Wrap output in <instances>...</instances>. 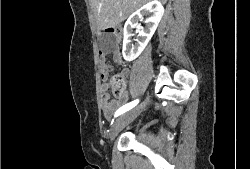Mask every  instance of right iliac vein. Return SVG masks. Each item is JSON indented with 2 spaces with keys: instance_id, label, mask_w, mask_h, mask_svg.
I'll use <instances>...</instances> for the list:
<instances>
[{
  "instance_id": "63e3f726",
  "label": "right iliac vein",
  "mask_w": 250,
  "mask_h": 169,
  "mask_svg": "<svg viewBox=\"0 0 250 169\" xmlns=\"http://www.w3.org/2000/svg\"><path fill=\"white\" fill-rule=\"evenodd\" d=\"M149 101V98L139 107L133 110H130L129 112L121 115L117 118L113 126L111 127L110 131V141H113L118 133L133 119H135L141 112V110L146 106L147 102Z\"/></svg>"
}]
</instances>
